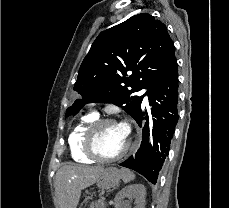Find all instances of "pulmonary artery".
Returning a JSON list of instances; mask_svg holds the SVG:
<instances>
[{"label":"pulmonary artery","mask_w":229,"mask_h":208,"mask_svg":"<svg viewBox=\"0 0 229 208\" xmlns=\"http://www.w3.org/2000/svg\"><path fill=\"white\" fill-rule=\"evenodd\" d=\"M144 92H145V90L142 91V93H144ZM146 102H147V100L145 99V103H146Z\"/></svg>","instance_id":"obj_1"}]
</instances>
